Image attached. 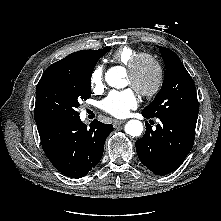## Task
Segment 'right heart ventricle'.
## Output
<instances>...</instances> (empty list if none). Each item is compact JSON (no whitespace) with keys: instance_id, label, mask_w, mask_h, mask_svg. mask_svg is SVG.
<instances>
[{"instance_id":"e07e8e85","label":"right heart ventricle","mask_w":221,"mask_h":221,"mask_svg":"<svg viewBox=\"0 0 221 221\" xmlns=\"http://www.w3.org/2000/svg\"><path fill=\"white\" fill-rule=\"evenodd\" d=\"M140 52L134 48L123 46L120 47L113 55L112 61L128 67L132 59Z\"/></svg>"}]
</instances>
